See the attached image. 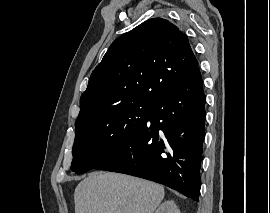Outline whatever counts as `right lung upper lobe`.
Masks as SVG:
<instances>
[{
    "label": "right lung upper lobe",
    "instance_id": "cb5924a9",
    "mask_svg": "<svg viewBox=\"0 0 270 213\" xmlns=\"http://www.w3.org/2000/svg\"><path fill=\"white\" fill-rule=\"evenodd\" d=\"M197 68L188 37L166 19H149L111 44L80 98L76 123L134 102L154 104Z\"/></svg>",
    "mask_w": 270,
    "mask_h": 213
}]
</instances>
